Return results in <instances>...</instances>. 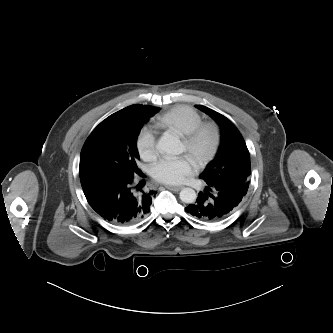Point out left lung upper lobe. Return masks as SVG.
<instances>
[{
	"instance_id": "obj_1",
	"label": "left lung upper lobe",
	"mask_w": 333,
	"mask_h": 333,
	"mask_svg": "<svg viewBox=\"0 0 333 333\" xmlns=\"http://www.w3.org/2000/svg\"><path fill=\"white\" fill-rule=\"evenodd\" d=\"M196 107L212 117L221 128L218 152L200 174V178L213 183L245 186L248 189L251 174L250 154L242 135L223 115L203 105Z\"/></svg>"
}]
</instances>
